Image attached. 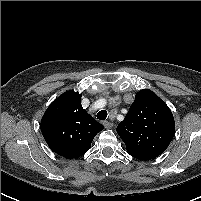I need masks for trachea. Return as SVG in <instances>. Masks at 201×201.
<instances>
[{"label":"trachea","instance_id":"trachea-1","mask_svg":"<svg viewBox=\"0 0 201 201\" xmlns=\"http://www.w3.org/2000/svg\"><path fill=\"white\" fill-rule=\"evenodd\" d=\"M97 118L99 120H105L107 118V111L106 110H101L97 113Z\"/></svg>","mask_w":201,"mask_h":201}]
</instances>
